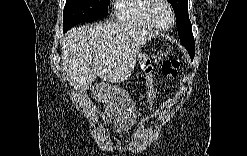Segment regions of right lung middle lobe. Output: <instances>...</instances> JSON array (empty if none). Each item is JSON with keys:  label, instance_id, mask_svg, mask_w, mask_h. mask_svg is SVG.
<instances>
[{"label": "right lung middle lobe", "instance_id": "dd1d6c3e", "mask_svg": "<svg viewBox=\"0 0 247 156\" xmlns=\"http://www.w3.org/2000/svg\"><path fill=\"white\" fill-rule=\"evenodd\" d=\"M108 4L109 0H66L63 13L64 32L78 23L105 17Z\"/></svg>", "mask_w": 247, "mask_h": 156}]
</instances>
